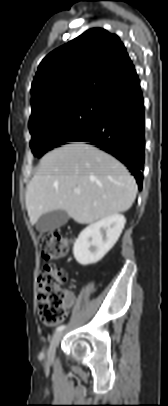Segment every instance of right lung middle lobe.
I'll return each mask as SVG.
<instances>
[{
    "mask_svg": "<svg viewBox=\"0 0 168 406\" xmlns=\"http://www.w3.org/2000/svg\"><path fill=\"white\" fill-rule=\"evenodd\" d=\"M102 99L84 100L29 124L34 156L70 142L92 127L101 117Z\"/></svg>",
    "mask_w": 168,
    "mask_h": 406,
    "instance_id": "dd1d6c3e",
    "label": "right lung middle lobe"
}]
</instances>
